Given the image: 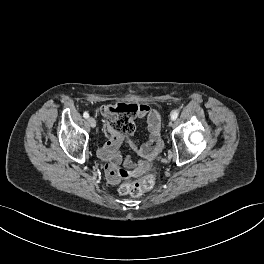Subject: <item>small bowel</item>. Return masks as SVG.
I'll return each mask as SVG.
<instances>
[{
    "mask_svg": "<svg viewBox=\"0 0 264 264\" xmlns=\"http://www.w3.org/2000/svg\"><path fill=\"white\" fill-rule=\"evenodd\" d=\"M137 106L136 116L138 118H146L149 131V139L146 143L140 144L136 140H130L124 135L113 133L106 123L105 132H109V140L99 150V157L107 162L105 167L107 180L110 184H117L120 176H123L124 170H119V165L123 162L120 148L123 144H128L132 150L144 161H149L155 157L162 149V140L160 137L161 116L158 110L147 104H135ZM126 167L131 166V162L126 159L124 161ZM144 170V165L140 164L137 171Z\"/></svg>",
    "mask_w": 264,
    "mask_h": 264,
    "instance_id": "obj_1",
    "label": "small bowel"
}]
</instances>
